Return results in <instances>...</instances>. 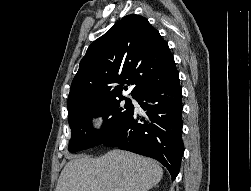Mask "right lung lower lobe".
I'll list each match as a JSON object with an SVG mask.
<instances>
[{"label": "right lung lower lobe", "mask_w": 251, "mask_h": 191, "mask_svg": "<svg viewBox=\"0 0 251 191\" xmlns=\"http://www.w3.org/2000/svg\"><path fill=\"white\" fill-rule=\"evenodd\" d=\"M135 99L146 115L140 116L133 111L129 119L101 144L152 157L169 170L174 180L184 152L179 73L156 87L144 90Z\"/></svg>", "instance_id": "98d812e1"}]
</instances>
